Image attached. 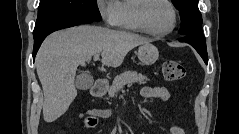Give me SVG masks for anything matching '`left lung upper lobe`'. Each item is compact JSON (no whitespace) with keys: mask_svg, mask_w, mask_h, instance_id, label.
Instances as JSON below:
<instances>
[{"mask_svg":"<svg viewBox=\"0 0 239 134\" xmlns=\"http://www.w3.org/2000/svg\"><path fill=\"white\" fill-rule=\"evenodd\" d=\"M179 10L181 18L180 34L204 38L202 33V16L198 8V0H172Z\"/></svg>","mask_w":239,"mask_h":134,"instance_id":"1","label":"left lung upper lobe"}]
</instances>
